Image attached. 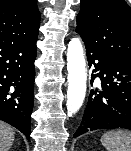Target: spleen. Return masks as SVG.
I'll list each match as a JSON object with an SVG mask.
<instances>
[{
	"instance_id": "1",
	"label": "spleen",
	"mask_w": 131,
	"mask_h": 151,
	"mask_svg": "<svg viewBox=\"0 0 131 151\" xmlns=\"http://www.w3.org/2000/svg\"><path fill=\"white\" fill-rule=\"evenodd\" d=\"M101 143L107 151H131V133L108 131L101 137Z\"/></svg>"
}]
</instances>
